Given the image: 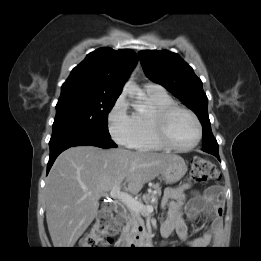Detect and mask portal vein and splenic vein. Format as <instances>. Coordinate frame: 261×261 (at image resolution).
<instances>
[{
	"label": "portal vein and splenic vein",
	"mask_w": 261,
	"mask_h": 261,
	"mask_svg": "<svg viewBox=\"0 0 261 261\" xmlns=\"http://www.w3.org/2000/svg\"><path fill=\"white\" fill-rule=\"evenodd\" d=\"M102 196L105 197H111L113 199H117L124 203L129 209L135 211V212H147L152 213L153 212V206L151 205H144L140 201L134 199L131 195L121 192L119 186H115L112 188V190L109 192V194H103Z\"/></svg>",
	"instance_id": "1"
}]
</instances>
